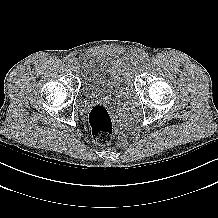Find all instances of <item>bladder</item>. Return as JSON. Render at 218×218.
<instances>
[{
	"label": "bladder",
	"instance_id": "obj_1",
	"mask_svg": "<svg viewBox=\"0 0 218 218\" xmlns=\"http://www.w3.org/2000/svg\"><path fill=\"white\" fill-rule=\"evenodd\" d=\"M81 92L86 99L122 95L132 82V65L127 57L87 52L79 59Z\"/></svg>",
	"mask_w": 218,
	"mask_h": 218
}]
</instances>
